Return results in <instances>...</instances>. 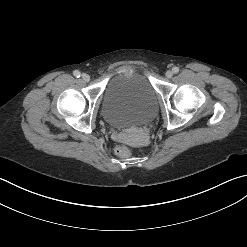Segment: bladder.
Masks as SVG:
<instances>
[{"instance_id":"1","label":"bladder","mask_w":247,"mask_h":247,"mask_svg":"<svg viewBox=\"0 0 247 247\" xmlns=\"http://www.w3.org/2000/svg\"><path fill=\"white\" fill-rule=\"evenodd\" d=\"M157 111V92L146 74H116L107 82L102 96V115L111 126L125 129L145 125L154 120Z\"/></svg>"}]
</instances>
